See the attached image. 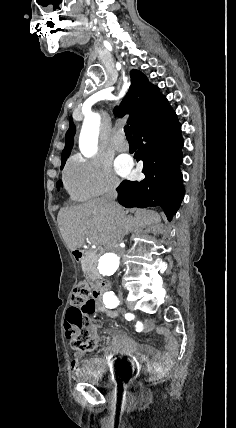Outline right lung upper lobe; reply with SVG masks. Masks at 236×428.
Listing matches in <instances>:
<instances>
[{"instance_id":"cb5924a9","label":"right lung upper lobe","mask_w":236,"mask_h":428,"mask_svg":"<svg viewBox=\"0 0 236 428\" xmlns=\"http://www.w3.org/2000/svg\"><path fill=\"white\" fill-rule=\"evenodd\" d=\"M130 76L131 87L121 106L114 109V114L118 117L130 114L127 122L133 131L144 121L168 109L170 106L167 99L159 92V88L150 84L143 73L133 69ZM69 123L70 126L65 136V147L62 151L61 168H63L66 159L69 157L73 146L75 126L72 117L69 118Z\"/></svg>"}]
</instances>
